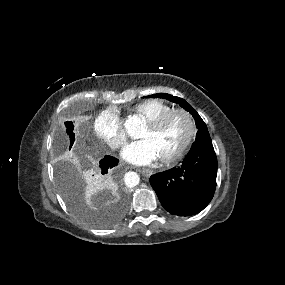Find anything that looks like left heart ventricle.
Segmentation results:
<instances>
[{"label":"left heart ventricle","mask_w":285,"mask_h":285,"mask_svg":"<svg viewBox=\"0 0 285 285\" xmlns=\"http://www.w3.org/2000/svg\"><path fill=\"white\" fill-rule=\"evenodd\" d=\"M188 133V125L182 116L170 119L162 128L153 129L147 124L140 137L150 139L155 145L159 157L175 152Z\"/></svg>","instance_id":"obj_1"}]
</instances>
